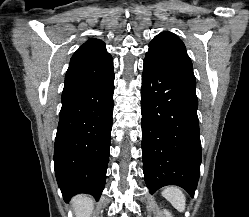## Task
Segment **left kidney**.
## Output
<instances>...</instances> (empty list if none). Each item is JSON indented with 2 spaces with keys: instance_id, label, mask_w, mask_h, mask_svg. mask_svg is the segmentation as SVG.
<instances>
[{
  "instance_id": "left-kidney-1",
  "label": "left kidney",
  "mask_w": 249,
  "mask_h": 217,
  "mask_svg": "<svg viewBox=\"0 0 249 217\" xmlns=\"http://www.w3.org/2000/svg\"><path fill=\"white\" fill-rule=\"evenodd\" d=\"M165 214L167 215V217H171L170 213L166 210H165Z\"/></svg>"
}]
</instances>
